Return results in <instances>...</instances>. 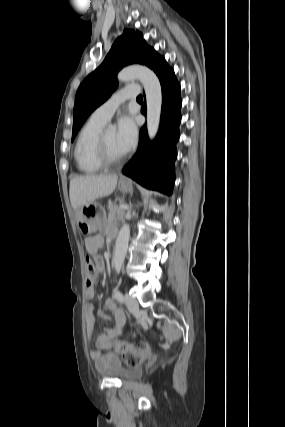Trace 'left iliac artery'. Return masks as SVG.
<instances>
[{"instance_id":"left-iliac-artery-1","label":"left iliac artery","mask_w":285,"mask_h":427,"mask_svg":"<svg viewBox=\"0 0 285 427\" xmlns=\"http://www.w3.org/2000/svg\"><path fill=\"white\" fill-rule=\"evenodd\" d=\"M119 269L117 270V272L119 273ZM115 298L120 302V303H123L124 302V297H123V294L119 291V290H117L116 292H115Z\"/></svg>"}]
</instances>
